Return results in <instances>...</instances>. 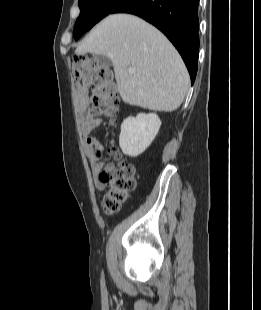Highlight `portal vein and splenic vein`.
Returning <instances> with one entry per match:
<instances>
[{"label": "portal vein and splenic vein", "mask_w": 261, "mask_h": 310, "mask_svg": "<svg viewBox=\"0 0 261 310\" xmlns=\"http://www.w3.org/2000/svg\"><path fill=\"white\" fill-rule=\"evenodd\" d=\"M128 71H129V73H135V69L134 68H129Z\"/></svg>", "instance_id": "obj_1"}]
</instances>
